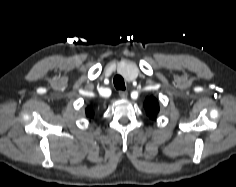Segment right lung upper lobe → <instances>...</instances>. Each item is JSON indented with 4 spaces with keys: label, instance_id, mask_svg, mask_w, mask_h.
<instances>
[{
    "label": "right lung upper lobe",
    "instance_id": "1",
    "mask_svg": "<svg viewBox=\"0 0 236 187\" xmlns=\"http://www.w3.org/2000/svg\"><path fill=\"white\" fill-rule=\"evenodd\" d=\"M86 115L87 117L92 118L94 116V112L90 108H86Z\"/></svg>",
    "mask_w": 236,
    "mask_h": 187
}]
</instances>
